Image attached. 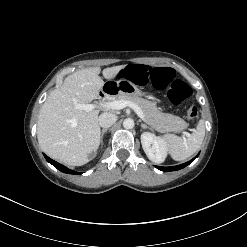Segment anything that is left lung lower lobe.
<instances>
[{
	"label": "left lung lower lobe",
	"mask_w": 247,
	"mask_h": 247,
	"mask_svg": "<svg viewBox=\"0 0 247 247\" xmlns=\"http://www.w3.org/2000/svg\"><path fill=\"white\" fill-rule=\"evenodd\" d=\"M198 155L196 157H194L192 160L181 164V165H177V166H171V167H160V166H156L157 169L163 171V172H169V171H175V170H179L182 169L184 167H186L187 165H189L195 158H197Z\"/></svg>",
	"instance_id": "0a47b994"
}]
</instances>
